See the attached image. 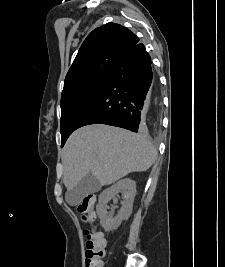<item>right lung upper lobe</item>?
I'll use <instances>...</instances> for the list:
<instances>
[{"label": "right lung upper lobe", "mask_w": 225, "mask_h": 267, "mask_svg": "<svg viewBox=\"0 0 225 267\" xmlns=\"http://www.w3.org/2000/svg\"><path fill=\"white\" fill-rule=\"evenodd\" d=\"M138 42L134 33L119 24L108 23L94 29L81 45L64 88L88 77L110 73L120 55Z\"/></svg>", "instance_id": "right-lung-upper-lobe-1"}]
</instances>
